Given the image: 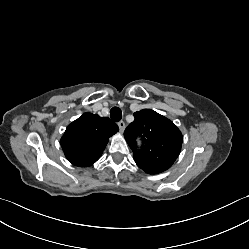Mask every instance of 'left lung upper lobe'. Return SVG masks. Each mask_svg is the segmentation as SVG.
Listing matches in <instances>:
<instances>
[{"instance_id": "obj_1", "label": "left lung upper lobe", "mask_w": 249, "mask_h": 249, "mask_svg": "<svg viewBox=\"0 0 249 249\" xmlns=\"http://www.w3.org/2000/svg\"><path fill=\"white\" fill-rule=\"evenodd\" d=\"M135 120L126 128L124 137L131 147L139 168L148 174L169 169L177 159L182 145V134L172 121L150 109L134 113ZM142 139L137 150L136 138Z\"/></svg>"}]
</instances>
